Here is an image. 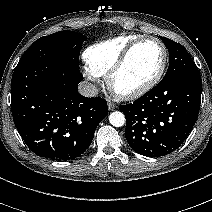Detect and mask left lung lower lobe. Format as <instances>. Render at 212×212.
Listing matches in <instances>:
<instances>
[{
	"label": "left lung lower lobe",
	"mask_w": 212,
	"mask_h": 212,
	"mask_svg": "<svg viewBox=\"0 0 212 212\" xmlns=\"http://www.w3.org/2000/svg\"><path fill=\"white\" fill-rule=\"evenodd\" d=\"M202 83L198 69L159 83L134 103L120 106L130 147L147 157L172 153L184 142L199 113Z\"/></svg>",
	"instance_id": "left-lung-lower-lobe-1"
}]
</instances>
